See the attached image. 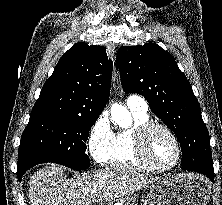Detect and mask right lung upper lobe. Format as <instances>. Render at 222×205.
Listing matches in <instances>:
<instances>
[{
    "label": "right lung upper lobe",
    "mask_w": 222,
    "mask_h": 205,
    "mask_svg": "<svg viewBox=\"0 0 222 205\" xmlns=\"http://www.w3.org/2000/svg\"><path fill=\"white\" fill-rule=\"evenodd\" d=\"M112 61L102 46L76 43L59 60L45 82L31 116L80 114L99 116L110 94Z\"/></svg>",
    "instance_id": "obj_1"
}]
</instances>
